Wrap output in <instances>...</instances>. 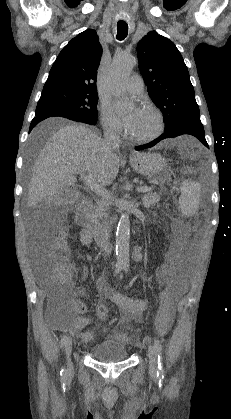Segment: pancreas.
Here are the masks:
<instances>
[{
	"label": "pancreas",
	"mask_w": 231,
	"mask_h": 419,
	"mask_svg": "<svg viewBox=\"0 0 231 419\" xmlns=\"http://www.w3.org/2000/svg\"><path fill=\"white\" fill-rule=\"evenodd\" d=\"M148 188V187H147ZM160 201V194L153 193L152 188H148L145 194L142 197L143 205L146 208H150L155 206ZM112 204V200L110 198H102L97 202V205L92 207L91 213L92 216L96 221L106 217L108 214L106 213L109 210V206Z\"/></svg>",
	"instance_id": "obj_1"
}]
</instances>
